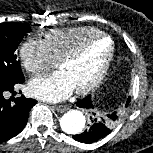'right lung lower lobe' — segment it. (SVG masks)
Masks as SVG:
<instances>
[{"label": "right lung lower lobe", "mask_w": 153, "mask_h": 153, "mask_svg": "<svg viewBox=\"0 0 153 153\" xmlns=\"http://www.w3.org/2000/svg\"><path fill=\"white\" fill-rule=\"evenodd\" d=\"M23 82L24 78L18 81L0 79V142L11 139L24 129L29 111L37 103L24 96L5 99L6 92H13L14 87Z\"/></svg>", "instance_id": "obj_1"}]
</instances>
